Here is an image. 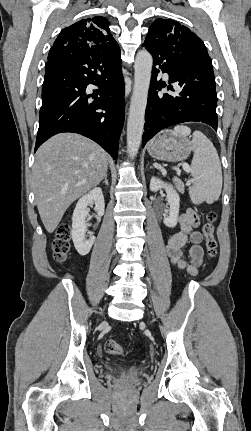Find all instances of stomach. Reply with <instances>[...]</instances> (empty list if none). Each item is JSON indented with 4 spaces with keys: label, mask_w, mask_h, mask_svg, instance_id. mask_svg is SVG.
Instances as JSON below:
<instances>
[{
    "label": "stomach",
    "mask_w": 251,
    "mask_h": 431,
    "mask_svg": "<svg viewBox=\"0 0 251 431\" xmlns=\"http://www.w3.org/2000/svg\"><path fill=\"white\" fill-rule=\"evenodd\" d=\"M192 150V142L185 136L164 130L148 144V153L155 159L177 162L186 159Z\"/></svg>",
    "instance_id": "obj_1"
}]
</instances>
